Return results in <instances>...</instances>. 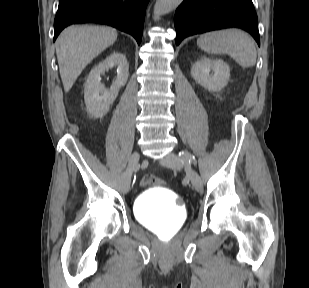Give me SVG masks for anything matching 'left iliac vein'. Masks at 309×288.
Wrapping results in <instances>:
<instances>
[{"mask_svg":"<svg viewBox=\"0 0 309 288\" xmlns=\"http://www.w3.org/2000/svg\"><path fill=\"white\" fill-rule=\"evenodd\" d=\"M160 163L166 167L172 168L174 170H180L184 166L181 159L174 153H168ZM187 175L192 183V186L197 192L203 191V183L199 174L192 169L190 166L186 167Z\"/></svg>","mask_w":309,"mask_h":288,"instance_id":"obj_1","label":"left iliac vein"}]
</instances>
